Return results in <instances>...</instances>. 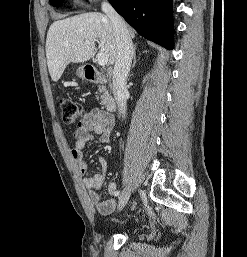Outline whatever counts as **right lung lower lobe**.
I'll return each instance as SVG.
<instances>
[{
    "label": "right lung lower lobe",
    "mask_w": 247,
    "mask_h": 257,
    "mask_svg": "<svg viewBox=\"0 0 247 257\" xmlns=\"http://www.w3.org/2000/svg\"><path fill=\"white\" fill-rule=\"evenodd\" d=\"M114 9L143 37L173 48L171 0H109Z\"/></svg>",
    "instance_id": "right-lung-lower-lobe-1"
}]
</instances>
